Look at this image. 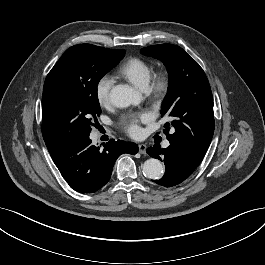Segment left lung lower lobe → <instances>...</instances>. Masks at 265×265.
<instances>
[{
  "label": "left lung lower lobe",
  "instance_id": "1",
  "mask_svg": "<svg viewBox=\"0 0 265 265\" xmlns=\"http://www.w3.org/2000/svg\"><path fill=\"white\" fill-rule=\"evenodd\" d=\"M146 152L151 157L164 161L166 174L161 179L155 181V183L164 187H172L180 184L199 165L172 145L165 149H160V147L156 146L149 147Z\"/></svg>",
  "mask_w": 265,
  "mask_h": 265
}]
</instances>
